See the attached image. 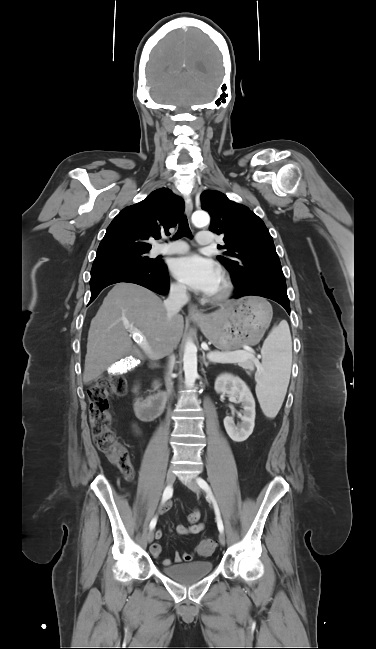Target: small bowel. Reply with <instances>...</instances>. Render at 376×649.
Listing matches in <instances>:
<instances>
[{
	"label": "small bowel",
	"instance_id": "c3829d8e",
	"mask_svg": "<svg viewBox=\"0 0 376 649\" xmlns=\"http://www.w3.org/2000/svg\"><path fill=\"white\" fill-rule=\"evenodd\" d=\"M133 431L135 433H138V429L136 427H133ZM171 506H172V503L168 502V503H166L164 505V509H169V508H171ZM200 517H201L200 511L197 510V509L193 510L188 516L189 525L188 526L179 525L177 527V532L179 534H181V535H196V534L201 533L203 531V529H204V524L202 522H199ZM155 538L157 540L162 538V531L161 530L156 531ZM150 550H151L152 555L155 558H159L160 555H161V550H162L161 544L158 541L154 542L150 546ZM193 557H194V554L192 552H186V553L176 552L175 555H174V562L175 563L189 562V561L193 560ZM161 563L164 566H169L172 563V561L169 558H165V559H163L161 561Z\"/></svg>",
	"mask_w": 376,
	"mask_h": 649
}]
</instances>
